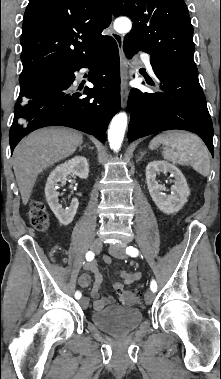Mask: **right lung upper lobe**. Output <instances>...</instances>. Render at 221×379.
Masks as SVG:
<instances>
[{
  "instance_id": "1",
  "label": "right lung upper lobe",
  "mask_w": 221,
  "mask_h": 379,
  "mask_svg": "<svg viewBox=\"0 0 221 379\" xmlns=\"http://www.w3.org/2000/svg\"><path fill=\"white\" fill-rule=\"evenodd\" d=\"M112 19L111 0H30L23 19L19 81L80 61L101 48Z\"/></svg>"
}]
</instances>
